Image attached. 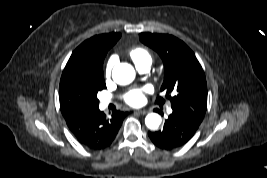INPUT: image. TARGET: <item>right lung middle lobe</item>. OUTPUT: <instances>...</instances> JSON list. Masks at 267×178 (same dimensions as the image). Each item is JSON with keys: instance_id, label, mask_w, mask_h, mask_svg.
<instances>
[{"instance_id": "dd1d6c3e", "label": "right lung middle lobe", "mask_w": 267, "mask_h": 178, "mask_svg": "<svg viewBox=\"0 0 267 178\" xmlns=\"http://www.w3.org/2000/svg\"><path fill=\"white\" fill-rule=\"evenodd\" d=\"M104 88L103 72L90 68L64 72L59 87L61 111L75 107L98 108L97 93Z\"/></svg>"}]
</instances>
